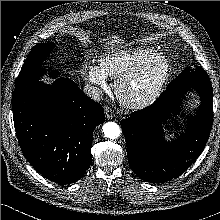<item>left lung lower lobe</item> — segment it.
<instances>
[{
    "instance_id": "obj_1",
    "label": "left lung lower lobe",
    "mask_w": 220,
    "mask_h": 220,
    "mask_svg": "<svg viewBox=\"0 0 220 220\" xmlns=\"http://www.w3.org/2000/svg\"><path fill=\"white\" fill-rule=\"evenodd\" d=\"M191 89L201 97L194 116L187 118L186 132L172 143L163 137L162 124L179 112L182 98ZM181 111V110H180ZM213 122V91L210 80H195L166 88L150 106L121 121L131 169L142 180L161 183L180 176L204 149Z\"/></svg>"
}]
</instances>
